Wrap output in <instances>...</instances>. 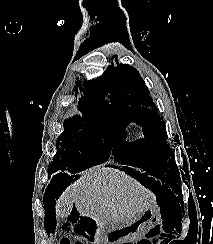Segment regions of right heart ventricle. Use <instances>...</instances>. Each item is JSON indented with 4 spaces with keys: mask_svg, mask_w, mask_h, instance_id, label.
I'll list each match as a JSON object with an SVG mask.
<instances>
[{
    "mask_svg": "<svg viewBox=\"0 0 213 244\" xmlns=\"http://www.w3.org/2000/svg\"><path fill=\"white\" fill-rule=\"evenodd\" d=\"M120 126L128 139H135L138 137L140 131L135 123L129 120H123Z\"/></svg>",
    "mask_w": 213,
    "mask_h": 244,
    "instance_id": "1",
    "label": "right heart ventricle"
}]
</instances>
